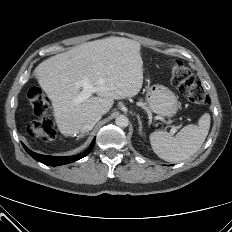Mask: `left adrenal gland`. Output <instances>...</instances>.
<instances>
[{"mask_svg":"<svg viewBox=\"0 0 232 232\" xmlns=\"http://www.w3.org/2000/svg\"><path fill=\"white\" fill-rule=\"evenodd\" d=\"M137 119H138V123H139V129H138V133L140 134V136L141 137H143L144 136V134H143V132H142V122H141V120H140V116L139 115H137Z\"/></svg>","mask_w":232,"mask_h":232,"instance_id":"1","label":"left adrenal gland"}]
</instances>
